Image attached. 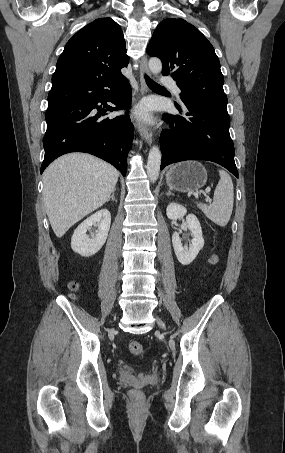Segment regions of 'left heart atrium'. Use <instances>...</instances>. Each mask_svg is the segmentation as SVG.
<instances>
[{
    "label": "left heart atrium",
    "mask_w": 285,
    "mask_h": 453,
    "mask_svg": "<svg viewBox=\"0 0 285 453\" xmlns=\"http://www.w3.org/2000/svg\"><path fill=\"white\" fill-rule=\"evenodd\" d=\"M135 114L143 120H148L150 118V105L148 103L138 105Z\"/></svg>",
    "instance_id": "1"
}]
</instances>
